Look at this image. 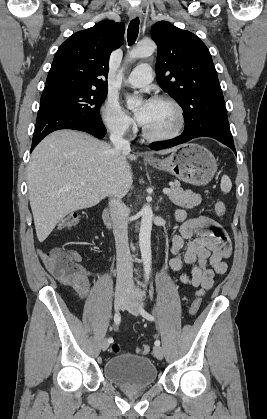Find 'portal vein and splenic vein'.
<instances>
[{"instance_id":"1","label":"portal vein and splenic vein","mask_w":267,"mask_h":419,"mask_svg":"<svg viewBox=\"0 0 267 419\" xmlns=\"http://www.w3.org/2000/svg\"><path fill=\"white\" fill-rule=\"evenodd\" d=\"M86 183H82V185H85ZM163 193L166 195H169L171 193V190L169 188L163 189Z\"/></svg>"}]
</instances>
